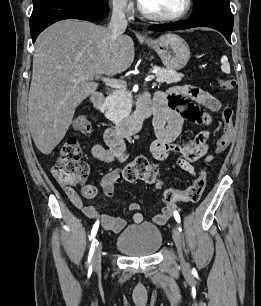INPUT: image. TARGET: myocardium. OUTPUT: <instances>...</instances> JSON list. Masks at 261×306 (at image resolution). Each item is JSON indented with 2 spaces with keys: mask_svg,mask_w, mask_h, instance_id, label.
Returning a JSON list of instances; mask_svg holds the SVG:
<instances>
[{
  "mask_svg": "<svg viewBox=\"0 0 261 306\" xmlns=\"http://www.w3.org/2000/svg\"><path fill=\"white\" fill-rule=\"evenodd\" d=\"M191 7H192V0H185L184 8L179 13L174 14V15H161V14H157V13L147 10L142 5L140 0L138 2V9L144 17L151 19V20L165 21V22L176 21V20L182 19L189 13V11L191 10Z\"/></svg>",
  "mask_w": 261,
  "mask_h": 306,
  "instance_id": "f54148a6",
  "label": "myocardium"
}]
</instances>
